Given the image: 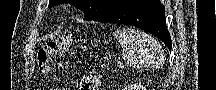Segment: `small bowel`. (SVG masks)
Returning <instances> with one entry per match:
<instances>
[{"label":"small bowel","instance_id":"obj_1","mask_svg":"<svg viewBox=\"0 0 216 90\" xmlns=\"http://www.w3.org/2000/svg\"><path fill=\"white\" fill-rule=\"evenodd\" d=\"M100 81L97 76L89 75L83 78L80 83L79 90H98ZM50 90H66L62 87L51 88Z\"/></svg>","mask_w":216,"mask_h":90}]
</instances>
